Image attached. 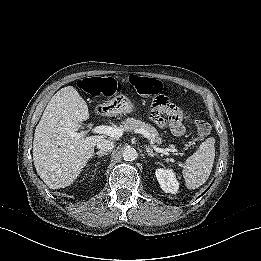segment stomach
Returning <instances> with one entry per match:
<instances>
[{
	"mask_svg": "<svg viewBox=\"0 0 261 261\" xmlns=\"http://www.w3.org/2000/svg\"><path fill=\"white\" fill-rule=\"evenodd\" d=\"M104 110L106 111H116L119 113H125L130 114L135 111L134 104L124 95H119L108 101L107 103H104L102 105Z\"/></svg>",
	"mask_w": 261,
	"mask_h": 261,
	"instance_id": "0dacf381",
	"label": "stomach"
}]
</instances>
